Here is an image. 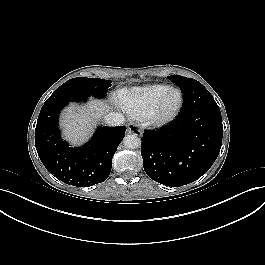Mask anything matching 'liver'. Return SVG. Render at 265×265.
<instances>
[{
    "mask_svg": "<svg viewBox=\"0 0 265 265\" xmlns=\"http://www.w3.org/2000/svg\"><path fill=\"white\" fill-rule=\"evenodd\" d=\"M109 106L101 100H91L86 106L71 105L60 117L63 136L73 144H82L88 140L94 123L100 119Z\"/></svg>",
    "mask_w": 265,
    "mask_h": 265,
    "instance_id": "liver-1",
    "label": "liver"
}]
</instances>
